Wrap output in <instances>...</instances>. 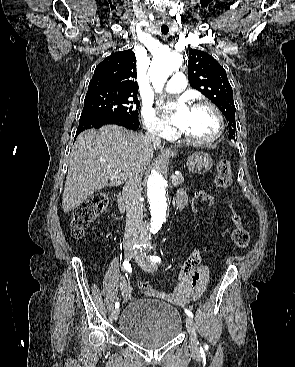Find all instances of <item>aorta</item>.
<instances>
[{
    "label": "aorta",
    "mask_w": 295,
    "mask_h": 367,
    "mask_svg": "<svg viewBox=\"0 0 295 367\" xmlns=\"http://www.w3.org/2000/svg\"><path fill=\"white\" fill-rule=\"evenodd\" d=\"M182 62L183 57L178 52H163L155 57L149 69L154 87L160 89ZM147 197L151 212L150 232L154 234L162 227L168 207L166 181L158 167H154L148 176Z\"/></svg>",
    "instance_id": "aorta-1"
}]
</instances>
